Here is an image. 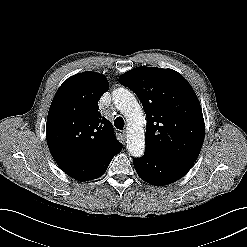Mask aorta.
I'll return each instance as SVG.
<instances>
[{
  "mask_svg": "<svg viewBox=\"0 0 247 247\" xmlns=\"http://www.w3.org/2000/svg\"><path fill=\"white\" fill-rule=\"evenodd\" d=\"M112 100L116 108L126 117L127 149L133 157H141L145 151V117L134 95L126 88L113 91Z\"/></svg>",
  "mask_w": 247,
  "mask_h": 247,
  "instance_id": "1",
  "label": "aorta"
}]
</instances>
